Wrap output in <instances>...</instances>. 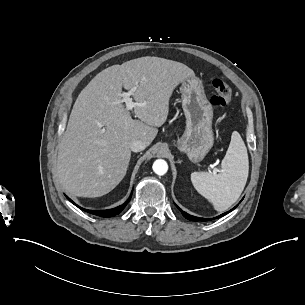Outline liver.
Segmentation results:
<instances>
[{
	"label": "liver",
	"mask_w": 305,
	"mask_h": 305,
	"mask_svg": "<svg viewBox=\"0 0 305 305\" xmlns=\"http://www.w3.org/2000/svg\"><path fill=\"white\" fill-rule=\"evenodd\" d=\"M195 78L187 66L157 57H143L100 72L79 95L66 132L60 140L57 175L63 189L79 197H99L112 191L125 177L131 159L129 142L146 146L168 119L175 89ZM132 94L139 120L122 99Z\"/></svg>",
	"instance_id": "1"
}]
</instances>
